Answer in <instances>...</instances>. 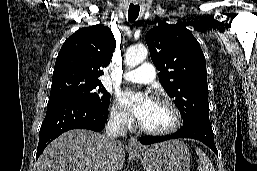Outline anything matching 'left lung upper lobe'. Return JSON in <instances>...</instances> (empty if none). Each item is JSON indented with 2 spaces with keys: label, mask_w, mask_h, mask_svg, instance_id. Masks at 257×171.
<instances>
[{
  "label": "left lung upper lobe",
  "mask_w": 257,
  "mask_h": 171,
  "mask_svg": "<svg viewBox=\"0 0 257 171\" xmlns=\"http://www.w3.org/2000/svg\"><path fill=\"white\" fill-rule=\"evenodd\" d=\"M159 80L183 117V125L209 121L207 71L203 51L192 33L166 22L146 34Z\"/></svg>",
  "instance_id": "5c2ea615"
}]
</instances>
